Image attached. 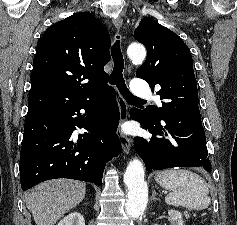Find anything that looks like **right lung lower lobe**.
<instances>
[{
	"mask_svg": "<svg viewBox=\"0 0 237 225\" xmlns=\"http://www.w3.org/2000/svg\"><path fill=\"white\" fill-rule=\"evenodd\" d=\"M118 122L115 90L109 86L71 104L28 112L20 154L22 189L56 178L102 184L106 162L121 151ZM76 127L86 132L76 135Z\"/></svg>",
	"mask_w": 237,
	"mask_h": 225,
	"instance_id": "1",
	"label": "right lung lower lobe"
}]
</instances>
